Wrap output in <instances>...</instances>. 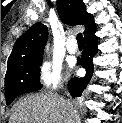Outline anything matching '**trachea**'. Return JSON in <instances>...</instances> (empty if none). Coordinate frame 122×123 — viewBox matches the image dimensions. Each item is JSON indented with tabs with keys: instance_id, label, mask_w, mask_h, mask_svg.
<instances>
[{
	"instance_id": "trachea-1",
	"label": "trachea",
	"mask_w": 122,
	"mask_h": 123,
	"mask_svg": "<svg viewBox=\"0 0 122 123\" xmlns=\"http://www.w3.org/2000/svg\"><path fill=\"white\" fill-rule=\"evenodd\" d=\"M77 42H78L79 45H84V38H83L82 33H79L77 35Z\"/></svg>"
}]
</instances>
